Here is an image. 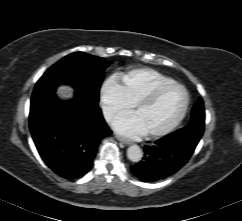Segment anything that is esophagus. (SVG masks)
<instances>
[{"mask_svg":"<svg viewBox=\"0 0 242 221\" xmlns=\"http://www.w3.org/2000/svg\"><path fill=\"white\" fill-rule=\"evenodd\" d=\"M117 139H118L121 143H123V144H126V145H130V144H132V142H131L130 140H127V139H125V138H122V137L117 136Z\"/></svg>","mask_w":242,"mask_h":221,"instance_id":"1","label":"esophagus"}]
</instances>
